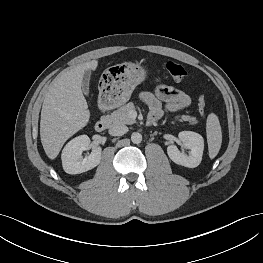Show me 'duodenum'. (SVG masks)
Masks as SVG:
<instances>
[{"mask_svg":"<svg viewBox=\"0 0 263 263\" xmlns=\"http://www.w3.org/2000/svg\"><path fill=\"white\" fill-rule=\"evenodd\" d=\"M100 108L101 110L106 111L108 110V105H106L104 102H101ZM108 124H109V119L106 116L100 118L95 124L96 132H103L107 128Z\"/></svg>","mask_w":263,"mask_h":263,"instance_id":"410a0bca","label":"duodenum"}]
</instances>
